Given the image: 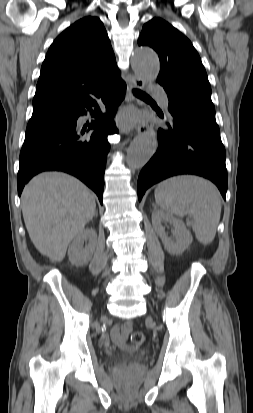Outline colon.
Returning a JSON list of instances; mask_svg holds the SVG:
<instances>
[{
    "label": "colon",
    "instance_id": "5ec220e1",
    "mask_svg": "<svg viewBox=\"0 0 253 413\" xmlns=\"http://www.w3.org/2000/svg\"><path fill=\"white\" fill-rule=\"evenodd\" d=\"M131 341L135 346L141 345L145 341V335L142 332H134L131 336Z\"/></svg>",
    "mask_w": 253,
    "mask_h": 413
}]
</instances>
